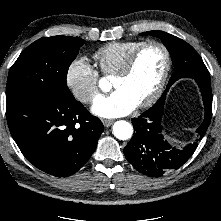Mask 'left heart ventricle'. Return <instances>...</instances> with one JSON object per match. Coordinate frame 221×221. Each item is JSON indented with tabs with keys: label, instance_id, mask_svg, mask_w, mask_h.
<instances>
[{
	"label": "left heart ventricle",
	"instance_id": "obj_1",
	"mask_svg": "<svg viewBox=\"0 0 221 221\" xmlns=\"http://www.w3.org/2000/svg\"><path fill=\"white\" fill-rule=\"evenodd\" d=\"M164 63L162 50L157 46H150L139 55L131 73L126 77H114L112 86L123 90L138 105L157 87Z\"/></svg>",
	"mask_w": 221,
	"mask_h": 221
}]
</instances>
